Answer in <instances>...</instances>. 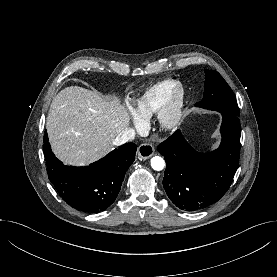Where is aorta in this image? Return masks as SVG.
Wrapping results in <instances>:
<instances>
[{
    "mask_svg": "<svg viewBox=\"0 0 277 277\" xmlns=\"http://www.w3.org/2000/svg\"><path fill=\"white\" fill-rule=\"evenodd\" d=\"M164 166H165V161L163 160V158L159 156H155L151 159V167L154 170L161 171L163 170Z\"/></svg>",
    "mask_w": 277,
    "mask_h": 277,
    "instance_id": "obj_1",
    "label": "aorta"
}]
</instances>
